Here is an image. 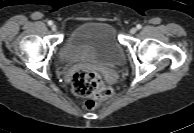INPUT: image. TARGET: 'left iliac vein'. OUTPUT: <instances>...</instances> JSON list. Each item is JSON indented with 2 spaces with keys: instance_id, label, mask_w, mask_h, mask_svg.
Wrapping results in <instances>:
<instances>
[{
  "instance_id": "obj_1",
  "label": "left iliac vein",
  "mask_w": 194,
  "mask_h": 133,
  "mask_svg": "<svg viewBox=\"0 0 194 133\" xmlns=\"http://www.w3.org/2000/svg\"><path fill=\"white\" fill-rule=\"evenodd\" d=\"M136 31H137V29H136V28H134V27L130 29V33H131V34H135V33H136Z\"/></svg>"
}]
</instances>
